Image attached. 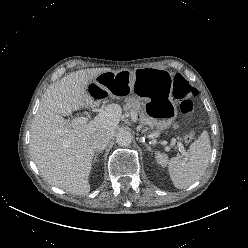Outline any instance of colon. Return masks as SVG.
Masks as SVG:
<instances>
[{
  "mask_svg": "<svg viewBox=\"0 0 248 248\" xmlns=\"http://www.w3.org/2000/svg\"><path fill=\"white\" fill-rule=\"evenodd\" d=\"M173 94L181 101V111L184 115L190 116L197 109L195 97L196 89L180 74H177L173 80ZM195 137L194 131L190 130L185 135V142L191 143Z\"/></svg>",
  "mask_w": 248,
  "mask_h": 248,
  "instance_id": "obj_1",
  "label": "colon"
}]
</instances>
